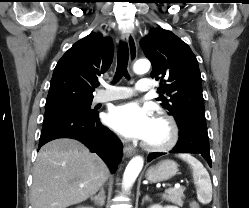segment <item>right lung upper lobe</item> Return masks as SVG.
Segmentation results:
<instances>
[{
  "instance_id": "1",
  "label": "right lung upper lobe",
  "mask_w": 249,
  "mask_h": 208,
  "mask_svg": "<svg viewBox=\"0 0 249 208\" xmlns=\"http://www.w3.org/2000/svg\"><path fill=\"white\" fill-rule=\"evenodd\" d=\"M112 58L111 40L99 33H91L76 42L54 69L45 109L92 100L97 76L108 70Z\"/></svg>"
}]
</instances>
